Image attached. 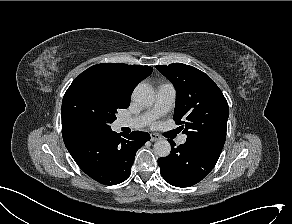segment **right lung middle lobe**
<instances>
[{
	"mask_svg": "<svg viewBox=\"0 0 292 224\" xmlns=\"http://www.w3.org/2000/svg\"><path fill=\"white\" fill-rule=\"evenodd\" d=\"M95 72H82L67 89L61 108L62 127L80 126L90 130H110L117 110L127 108Z\"/></svg>",
	"mask_w": 292,
	"mask_h": 224,
	"instance_id": "dd1d6c3e",
	"label": "right lung middle lobe"
}]
</instances>
